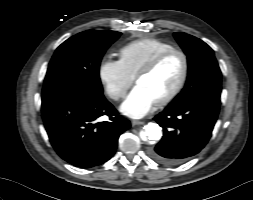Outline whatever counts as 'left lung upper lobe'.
Masks as SVG:
<instances>
[{
	"instance_id": "1",
	"label": "left lung upper lobe",
	"mask_w": 253,
	"mask_h": 200,
	"mask_svg": "<svg viewBox=\"0 0 253 200\" xmlns=\"http://www.w3.org/2000/svg\"><path fill=\"white\" fill-rule=\"evenodd\" d=\"M174 37L187 55L188 78L173 105L187 104L197 98H220L221 71L213 50L202 40L186 33L176 32Z\"/></svg>"
}]
</instances>
